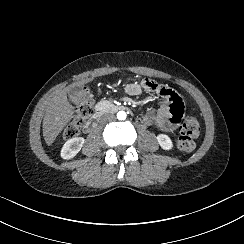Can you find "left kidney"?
Instances as JSON below:
<instances>
[{
  "label": "left kidney",
  "mask_w": 244,
  "mask_h": 244,
  "mask_svg": "<svg viewBox=\"0 0 244 244\" xmlns=\"http://www.w3.org/2000/svg\"><path fill=\"white\" fill-rule=\"evenodd\" d=\"M157 142L164 151H171L174 149L172 139L166 134H158L156 136Z\"/></svg>",
  "instance_id": "5707ae66"
}]
</instances>
